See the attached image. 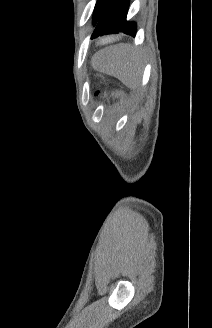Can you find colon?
Wrapping results in <instances>:
<instances>
[{
  "label": "colon",
  "mask_w": 212,
  "mask_h": 328,
  "mask_svg": "<svg viewBox=\"0 0 212 328\" xmlns=\"http://www.w3.org/2000/svg\"><path fill=\"white\" fill-rule=\"evenodd\" d=\"M112 95H117V93L113 92Z\"/></svg>",
  "instance_id": "1"
}]
</instances>
